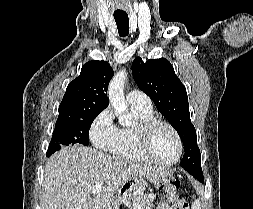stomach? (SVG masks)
I'll use <instances>...</instances> for the list:
<instances>
[{
	"mask_svg": "<svg viewBox=\"0 0 253 209\" xmlns=\"http://www.w3.org/2000/svg\"><path fill=\"white\" fill-rule=\"evenodd\" d=\"M168 181L167 177H161L157 181H121L111 209H134L131 198L133 190H146V186H156V192H166Z\"/></svg>",
	"mask_w": 253,
	"mask_h": 209,
	"instance_id": "0dacf381",
	"label": "stomach"
}]
</instances>
